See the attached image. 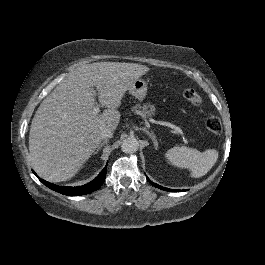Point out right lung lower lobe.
<instances>
[{
  "mask_svg": "<svg viewBox=\"0 0 265 265\" xmlns=\"http://www.w3.org/2000/svg\"><path fill=\"white\" fill-rule=\"evenodd\" d=\"M34 174L36 175V173H34ZM105 177H106V167L100 172V174L93 181L89 182L86 185L79 186V187L58 186V185L49 183L43 179H40V181L44 185H46L48 188H50L56 192H59L61 194H64L67 196H78V195L89 194V193L99 189L102 186V184L105 180Z\"/></svg>",
  "mask_w": 265,
  "mask_h": 265,
  "instance_id": "right-lung-lower-lobe-1",
  "label": "right lung lower lobe"
}]
</instances>
